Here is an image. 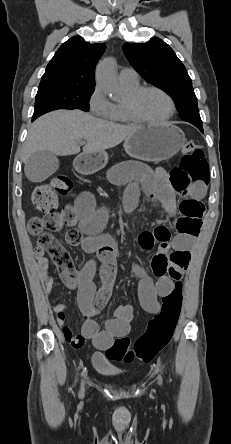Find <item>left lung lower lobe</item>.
Masks as SVG:
<instances>
[{
    "label": "left lung lower lobe",
    "mask_w": 231,
    "mask_h": 444,
    "mask_svg": "<svg viewBox=\"0 0 231 444\" xmlns=\"http://www.w3.org/2000/svg\"><path fill=\"white\" fill-rule=\"evenodd\" d=\"M201 132H203V128L200 125H195Z\"/></svg>",
    "instance_id": "left-lung-lower-lobe-1"
}]
</instances>
